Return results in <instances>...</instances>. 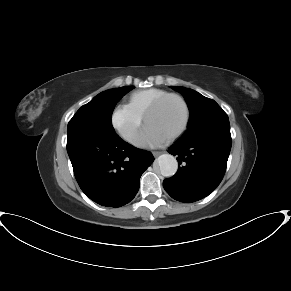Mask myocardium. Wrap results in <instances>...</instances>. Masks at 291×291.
<instances>
[{"mask_svg":"<svg viewBox=\"0 0 291 291\" xmlns=\"http://www.w3.org/2000/svg\"><path fill=\"white\" fill-rule=\"evenodd\" d=\"M171 98H175L177 100L180 101V103L182 104L183 106V109H184V120H183V123L181 124V126L176 130L174 131L172 134H170L166 139L167 140H173L177 137H179L180 135H182L188 128L189 126V123H190V118H191V113H190V108H189V105L186 101V99L177 94V93H168L164 96H161L160 98H158L157 100H155L150 106L149 108L146 110V112L144 113L143 115V121L144 123L146 124L148 118L155 112L157 111L161 106L162 104L167 101L168 99H171Z\"/></svg>","mask_w":291,"mask_h":291,"instance_id":"obj_1","label":"myocardium"}]
</instances>
